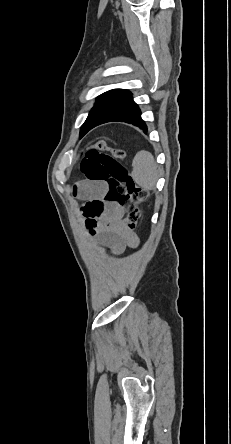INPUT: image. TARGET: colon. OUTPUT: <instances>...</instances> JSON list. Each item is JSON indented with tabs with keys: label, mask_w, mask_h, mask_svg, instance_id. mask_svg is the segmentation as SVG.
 I'll return each instance as SVG.
<instances>
[{
	"label": "colon",
	"mask_w": 231,
	"mask_h": 444,
	"mask_svg": "<svg viewBox=\"0 0 231 444\" xmlns=\"http://www.w3.org/2000/svg\"><path fill=\"white\" fill-rule=\"evenodd\" d=\"M125 152L109 147L103 140L91 145L82 155L79 168L89 182H105L108 185L106 200L119 204L125 211L127 228L136 227L140 216L139 204L148 197V192L137 185L124 166ZM102 211L101 202L88 203L83 207L86 224L94 233Z\"/></svg>",
	"instance_id": "obj_1"
}]
</instances>
